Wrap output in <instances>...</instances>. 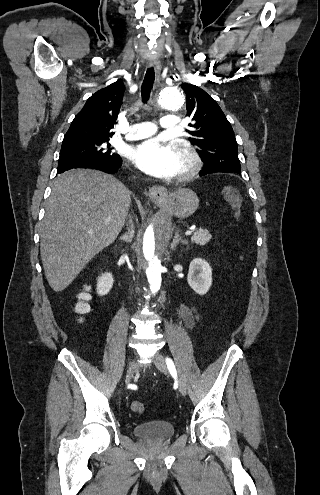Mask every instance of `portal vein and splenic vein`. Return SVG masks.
I'll list each match as a JSON object with an SVG mask.
<instances>
[{"instance_id": "1", "label": "portal vein and splenic vein", "mask_w": 320, "mask_h": 495, "mask_svg": "<svg viewBox=\"0 0 320 495\" xmlns=\"http://www.w3.org/2000/svg\"><path fill=\"white\" fill-rule=\"evenodd\" d=\"M192 234V231L188 230L185 232V235H191Z\"/></svg>"}]
</instances>
